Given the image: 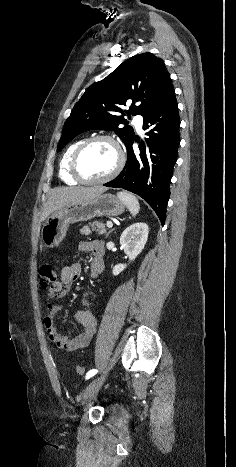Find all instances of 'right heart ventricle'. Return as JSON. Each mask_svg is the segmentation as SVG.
Listing matches in <instances>:
<instances>
[{"instance_id": "right-heart-ventricle-1", "label": "right heart ventricle", "mask_w": 236, "mask_h": 467, "mask_svg": "<svg viewBox=\"0 0 236 467\" xmlns=\"http://www.w3.org/2000/svg\"><path fill=\"white\" fill-rule=\"evenodd\" d=\"M84 140H78L72 143L63 153L60 163H59V177L60 179L68 184V185H75L78 183L76 179H74L70 172H69V164L72 157L73 152L75 149L83 142Z\"/></svg>"}]
</instances>
